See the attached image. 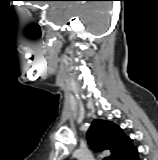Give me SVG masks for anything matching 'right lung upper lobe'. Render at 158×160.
<instances>
[{"label": "right lung upper lobe", "instance_id": "right-lung-upper-lobe-1", "mask_svg": "<svg viewBox=\"0 0 158 160\" xmlns=\"http://www.w3.org/2000/svg\"><path fill=\"white\" fill-rule=\"evenodd\" d=\"M87 139L95 151H110V156L105 160H121L134 147L132 140L119 126L101 119L93 121Z\"/></svg>", "mask_w": 158, "mask_h": 160}]
</instances>
